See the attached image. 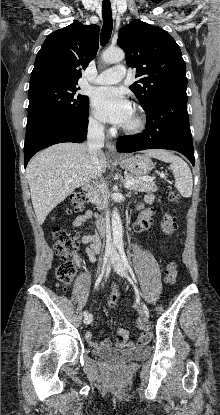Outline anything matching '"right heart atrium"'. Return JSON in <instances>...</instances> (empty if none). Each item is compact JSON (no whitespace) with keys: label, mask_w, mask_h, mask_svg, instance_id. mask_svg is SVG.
I'll return each mask as SVG.
<instances>
[{"label":"right heart atrium","mask_w":220,"mask_h":415,"mask_svg":"<svg viewBox=\"0 0 220 415\" xmlns=\"http://www.w3.org/2000/svg\"><path fill=\"white\" fill-rule=\"evenodd\" d=\"M89 122V126L91 129H93L94 131H102L103 130V125L102 123L93 115L89 116L88 119Z\"/></svg>","instance_id":"d8ad5b80"}]
</instances>
